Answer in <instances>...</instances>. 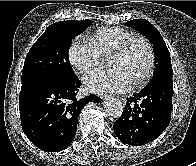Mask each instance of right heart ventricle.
I'll return each instance as SVG.
<instances>
[{
  "label": "right heart ventricle",
  "mask_w": 196,
  "mask_h": 166,
  "mask_svg": "<svg viewBox=\"0 0 196 166\" xmlns=\"http://www.w3.org/2000/svg\"><path fill=\"white\" fill-rule=\"evenodd\" d=\"M134 36L129 30L120 27H107L97 30L91 41L95 44L102 56L113 54L123 43Z\"/></svg>",
  "instance_id": "e07e8e85"
}]
</instances>
